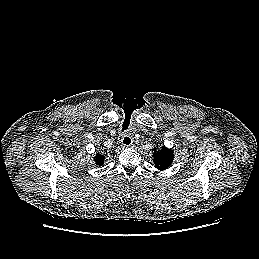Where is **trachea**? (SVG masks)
Returning <instances> with one entry per match:
<instances>
[{
	"mask_svg": "<svg viewBox=\"0 0 259 259\" xmlns=\"http://www.w3.org/2000/svg\"><path fill=\"white\" fill-rule=\"evenodd\" d=\"M128 129V124L123 123L122 132Z\"/></svg>",
	"mask_w": 259,
	"mask_h": 259,
	"instance_id": "3493384b",
	"label": "trachea"
}]
</instances>
